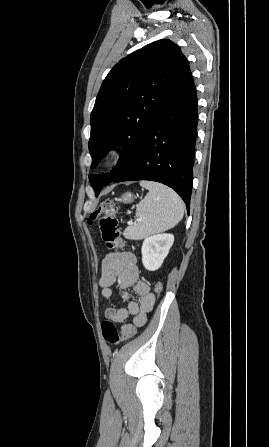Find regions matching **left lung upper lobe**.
<instances>
[{
    "label": "left lung upper lobe",
    "instance_id": "obj_1",
    "mask_svg": "<svg viewBox=\"0 0 269 447\" xmlns=\"http://www.w3.org/2000/svg\"><path fill=\"white\" fill-rule=\"evenodd\" d=\"M185 61L180 48L163 39L131 53L108 73L91 113V167L112 147L123 149L111 174L89 175L95 192L116 179L138 153Z\"/></svg>",
    "mask_w": 269,
    "mask_h": 447
}]
</instances>
